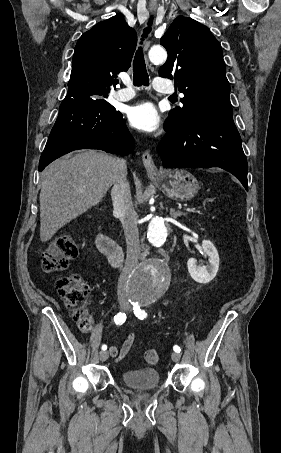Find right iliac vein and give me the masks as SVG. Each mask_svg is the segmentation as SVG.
<instances>
[{
	"label": "right iliac vein",
	"mask_w": 281,
	"mask_h": 453,
	"mask_svg": "<svg viewBox=\"0 0 281 453\" xmlns=\"http://www.w3.org/2000/svg\"><path fill=\"white\" fill-rule=\"evenodd\" d=\"M100 357L103 359V361H107L109 357V351H100Z\"/></svg>",
	"instance_id": "obj_1"
}]
</instances>
